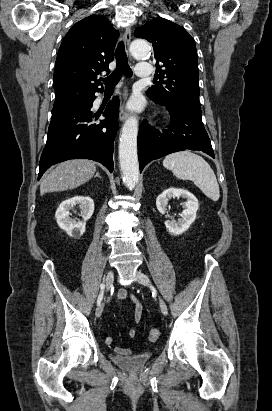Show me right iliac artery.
Masks as SVG:
<instances>
[{
  "instance_id": "right-iliac-artery-1",
  "label": "right iliac artery",
  "mask_w": 272,
  "mask_h": 411,
  "mask_svg": "<svg viewBox=\"0 0 272 411\" xmlns=\"http://www.w3.org/2000/svg\"><path fill=\"white\" fill-rule=\"evenodd\" d=\"M100 288H101V291H100V294H99L98 299H97V305H100V303H101V301H102V299H103V293H104L105 285H104V284H101V285H100ZM107 341H108V338L106 339V342H107Z\"/></svg>"
}]
</instances>
